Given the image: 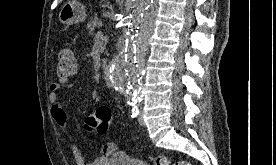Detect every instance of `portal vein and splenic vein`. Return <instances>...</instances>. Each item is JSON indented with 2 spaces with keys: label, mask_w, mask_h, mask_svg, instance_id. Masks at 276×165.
Instances as JSON below:
<instances>
[{
  "label": "portal vein and splenic vein",
  "mask_w": 276,
  "mask_h": 165,
  "mask_svg": "<svg viewBox=\"0 0 276 165\" xmlns=\"http://www.w3.org/2000/svg\"><path fill=\"white\" fill-rule=\"evenodd\" d=\"M104 36H103V33L101 31H98L97 35H96V38L97 39H102Z\"/></svg>",
  "instance_id": "1"
}]
</instances>
